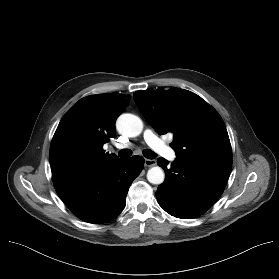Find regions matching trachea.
I'll list each match as a JSON object with an SVG mask.
<instances>
[{"mask_svg":"<svg viewBox=\"0 0 279 279\" xmlns=\"http://www.w3.org/2000/svg\"><path fill=\"white\" fill-rule=\"evenodd\" d=\"M131 154H132V152L129 149H123V150L119 151V153H118L119 157H123V158L130 157ZM143 155L147 159H154L156 157V154L150 149L143 150Z\"/></svg>","mask_w":279,"mask_h":279,"instance_id":"trachea-1","label":"trachea"}]
</instances>
